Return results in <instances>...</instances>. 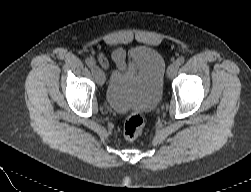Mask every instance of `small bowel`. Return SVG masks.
Here are the masks:
<instances>
[{"label":"small bowel","mask_w":251,"mask_h":192,"mask_svg":"<svg viewBox=\"0 0 251 192\" xmlns=\"http://www.w3.org/2000/svg\"><path fill=\"white\" fill-rule=\"evenodd\" d=\"M112 59L113 61L115 62L117 68L119 70H124L125 69V59H126V56H125V52L123 49L121 48H117L113 51L112 53ZM99 61L100 63L106 67L107 66V60L103 57V56H100L99 57Z\"/></svg>","instance_id":"small-bowel-1"}]
</instances>
